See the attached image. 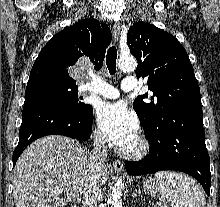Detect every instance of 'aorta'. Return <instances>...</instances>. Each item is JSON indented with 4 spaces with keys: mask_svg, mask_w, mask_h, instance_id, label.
I'll return each instance as SVG.
<instances>
[{
    "mask_svg": "<svg viewBox=\"0 0 220 207\" xmlns=\"http://www.w3.org/2000/svg\"><path fill=\"white\" fill-rule=\"evenodd\" d=\"M118 67L122 71H135L137 68V61L134 57H121L118 62ZM124 184L121 178H118L111 189L110 204L111 207H122V190Z\"/></svg>",
    "mask_w": 220,
    "mask_h": 207,
    "instance_id": "aorta-1",
    "label": "aorta"
}]
</instances>
